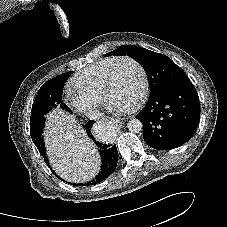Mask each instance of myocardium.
I'll use <instances>...</instances> for the list:
<instances>
[{"mask_svg": "<svg viewBox=\"0 0 227 227\" xmlns=\"http://www.w3.org/2000/svg\"><path fill=\"white\" fill-rule=\"evenodd\" d=\"M123 61H130V62L134 63L137 66V68L139 69L140 74H141V80H142L141 91H140L137 99L134 101V103L129 106V110H133V109L137 108L138 106H140V104L144 101V99L147 96L148 88H149V80H148L147 72H146L144 66L142 65V63L139 60H137L135 57L128 56V55L118 57V59L114 62V64L109 69L106 79L104 81L102 98L108 106L111 105V103H110L111 88L114 83L116 71H117L119 65Z\"/></svg>", "mask_w": 227, "mask_h": 227, "instance_id": "obj_1", "label": "myocardium"}]
</instances>
